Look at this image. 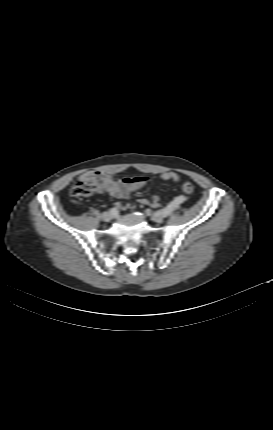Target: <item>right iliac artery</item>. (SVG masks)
I'll list each match as a JSON object with an SVG mask.
<instances>
[{
    "label": "right iliac artery",
    "instance_id": "obj_1",
    "mask_svg": "<svg viewBox=\"0 0 273 430\" xmlns=\"http://www.w3.org/2000/svg\"><path fill=\"white\" fill-rule=\"evenodd\" d=\"M111 210H112V212H113L115 215L118 213L117 208H112Z\"/></svg>",
    "mask_w": 273,
    "mask_h": 430
}]
</instances>
